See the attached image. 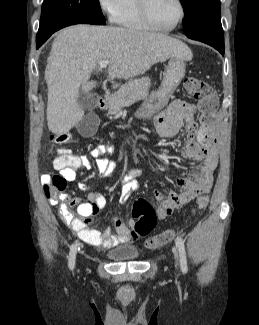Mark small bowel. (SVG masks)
I'll use <instances>...</instances> for the list:
<instances>
[{"label": "small bowel", "instance_id": "small-bowel-1", "mask_svg": "<svg viewBox=\"0 0 259 325\" xmlns=\"http://www.w3.org/2000/svg\"><path fill=\"white\" fill-rule=\"evenodd\" d=\"M197 110H200L201 114L203 113L201 105L197 107L192 103L176 99L155 116L157 131L164 138H174L183 127L186 128L185 156L199 162L197 170L191 177L177 180L178 186L183 190L181 193L169 192L164 195L161 192H154L152 194V199L159 204L156 211L159 220H164L174 210L190 202L197 195L208 193L212 186L213 173L217 166V153L214 147L216 140L202 125L198 126L195 121ZM111 153V147L106 144H99L90 151L91 157L96 160L98 176L101 178L113 179L117 162L105 158V155ZM91 166L92 163L88 156H76L69 151L54 160L55 169L59 170L61 176L67 181H74L76 173L81 167L91 168ZM140 175L139 169H133L116 181L120 185V203H124L131 193L139 188L137 179ZM49 177L48 174L42 175V181L48 180ZM78 187L83 191L88 189L85 182H79ZM60 199L70 206H78L79 217H75L66 204L61 205L60 214L67 225L85 243L100 249H109L120 243L137 241L139 235L133 229V220L126 223L122 219L115 218L113 227H106L103 231L88 226L89 217L107 204V199L101 192H91L85 203H82L79 198H72L67 194H62ZM52 204H56V202Z\"/></svg>", "mask_w": 259, "mask_h": 325}]
</instances>
